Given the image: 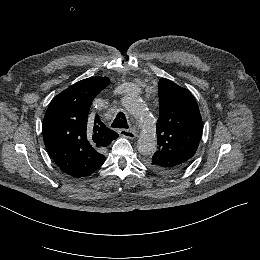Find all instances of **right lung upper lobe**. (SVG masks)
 Masks as SVG:
<instances>
[{"label": "right lung upper lobe", "instance_id": "1", "mask_svg": "<svg viewBox=\"0 0 260 260\" xmlns=\"http://www.w3.org/2000/svg\"><path fill=\"white\" fill-rule=\"evenodd\" d=\"M110 80L93 77L70 86L50 103L43 120L46 149L59 168L75 177L90 175L105 161L101 154L118 134L98 115H89L92 100Z\"/></svg>", "mask_w": 260, "mask_h": 260}]
</instances>
